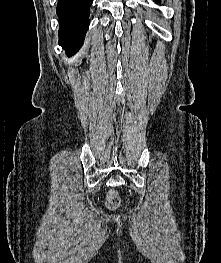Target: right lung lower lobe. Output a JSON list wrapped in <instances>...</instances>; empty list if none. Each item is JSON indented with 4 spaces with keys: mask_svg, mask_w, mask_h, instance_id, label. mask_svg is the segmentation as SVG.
Wrapping results in <instances>:
<instances>
[{
    "mask_svg": "<svg viewBox=\"0 0 221 263\" xmlns=\"http://www.w3.org/2000/svg\"><path fill=\"white\" fill-rule=\"evenodd\" d=\"M91 4L92 0H58L59 45L68 55H73L83 44L89 27Z\"/></svg>",
    "mask_w": 221,
    "mask_h": 263,
    "instance_id": "1",
    "label": "right lung lower lobe"
}]
</instances>
